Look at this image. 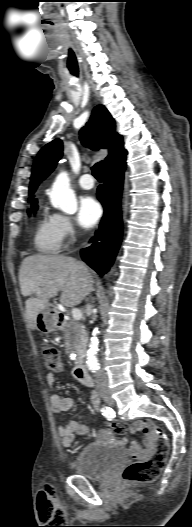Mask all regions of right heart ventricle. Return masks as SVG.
<instances>
[{
    "label": "right heart ventricle",
    "instance_id": "e07e8e85",
    "mask_svg": "<svg viewBox=\"0 0 192 527\" xmlns=\"http://www.w3.org/2000/svg\"><path fill=\"white\" fill-rule=\"evenodd\" d=\"M34 243L36 249L45 254H55L61 247V239L52 215H43L36 225Z\"/></svg>",
    "mask_w": 192,
    "mask_h": 527
}]
</instances>
